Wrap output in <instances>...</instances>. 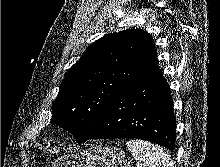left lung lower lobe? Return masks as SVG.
<instances>
[{
  "label": "left lung lower lobe",
  "mask_w": 220,
  "mask_h": 167,
  "mask_svg": "<svg viewBox=\"0 0 220 167\" xmlns=\"http://www.w3.org/2000/svg\"><path fill=\"white\" fill-rule=\"evenodd\" d=\"M176 119L169 85L155 68L123 87L112 99L95 132L85 140L137 138L175 148Z\"/></svg>",
  "instance_id": "obj_1"
}]
</instances>
